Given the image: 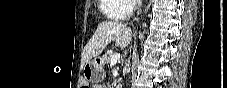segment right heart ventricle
Segmentation results:
<instances>
[{
	"instance_id": "right-heart-ventricle-1",
	"label": "right heart ventricle",
	"mask_w": 227,
	"mask_h": 88,
	"mask_svg": "<svg viewBox=\"0 0 227 88\" xmlns=\"http://www.w3.org/2000/svg\"><path fill=\"white\" fill-rule=\"evenodd\" d=\"M126 2V0H99V10L107 19L120 20L130 12Z\"/></svg>"
}]
</instances>
